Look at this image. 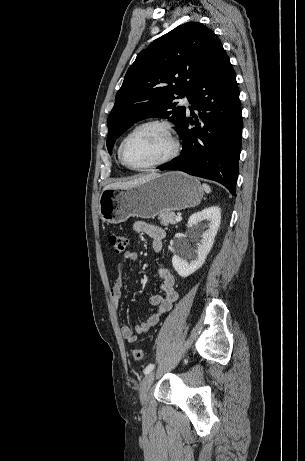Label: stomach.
Segmentation results:
<instances>
[{"label":"stomach","mask_w":305,"mask_h":461,"mask_svg":"<svg viewBox=\"0 0 305 461\" xmlns=\"http://www.w3.org/2000/svg\"><path fill=\"white\" fill-rule=\"evenodd\" d=\"M203 194L197 179L172 171L157 174L130 188L103 190L99 197V213L104 221L113 224L131 216L153 218L161 212L195 207Z\"/></svg>","instance_id":"stomach-1"}]
</instances>
